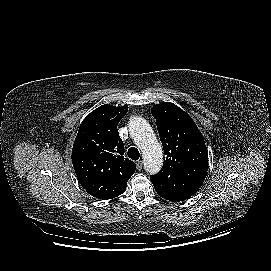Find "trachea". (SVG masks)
<instances>
[{"instance_id":"1","label":"trachea","mask_w":271,"mask_h":271,"mask_svg":"<svg viewBox=\"0 0 271 271\" xmlns=\"http://www.w3.org/2000/svg\"><path fill=\"white\" fill-rule=\"evenodd\" d=\"M128 157L131 158L132 160H138L140 158V153L139 150L135 147H130L128 149Z\"/></svg>"}]
</instances>
